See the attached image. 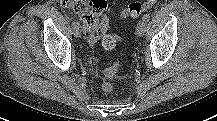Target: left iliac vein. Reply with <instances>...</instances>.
<instances>
[{
  "label": "left iliac vein",
  "instance_id": "4c4485c4",
  "mask_svg": "<svg viewBox=\"0 0 217 121\" xmlns=\"http://www.w3.org/2000/svg\"><path fill=\"white\" fill-rule=\"evenodd\" d=\"M136 31L139 36H142L146 31V22L140 21L137 25Z\"/></svg>",
  "mask_w": 217,
  "mask_h": 121
}]
</instances>
